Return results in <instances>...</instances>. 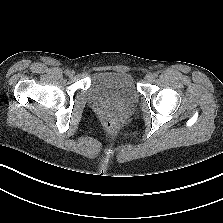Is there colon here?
<instances>
[{"label":"colon","mask_w":223,"mask_h":223,"mask_svg":"<svg viewBox=\"0 0 223 223\" xmlns=\"http://www.w3.org/2000/svg\"><path fill=\"white\" fill-rule=\"evenodd\" d=\"M116 119L112 116L107 114L104 118V126L108 131H113L116 128Z\"/></svg>","instance_id":"1"}]
</instances>
